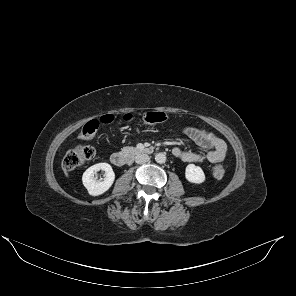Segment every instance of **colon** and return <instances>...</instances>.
<instances>
[{"label":"colon","instance_id":"1","mask_svg":"<svg viewBox=\"0 0 296 296\" xmlns=\"http://www.w3.org/2000/svg\"><path fill=\"white\" fill-rule=\"evenodd\" d=\"M135 118L131 114H127L122 117L125 122L133 121ZM168 116L164 112L160 111H149L141 115L138 121L143 125L159 124L167 121ZM114 122V117L111 115H105L100 120H91L87 122L81 129L79 137L83 140L91 139L100 124H111ZM95 151L90 146L78 145L70 149L63 160V167L67 171H72L79 167L84 166L94 157ZM225 167L221 164L215 165L212 168V175L215 178H222L225 175Z\"/></svg>","mask_w":296,"mask_h":296}]
</instances>
